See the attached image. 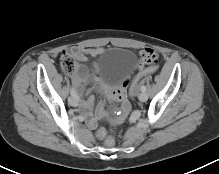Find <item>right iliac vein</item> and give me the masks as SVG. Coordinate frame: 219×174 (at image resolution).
I'll use <instances>...</instances> for the list:
<instances>
[{
	"label": "right iliac vein",
	"mask_w": 219,
	"mask_h": 174,
	"mask_svg": "<svg viewBox=\"0 0 219 174\" xmlns=\"http://www.w3.org/2000/svg\"><path fill=\"white\" fill-rule=\"evenodd\" d=\"M68 102L71 106H77L78 105V100L76 97L70 96L68 98Z\"/></svg>",
	"instance_id": "obj_1"
}]
</instances>
